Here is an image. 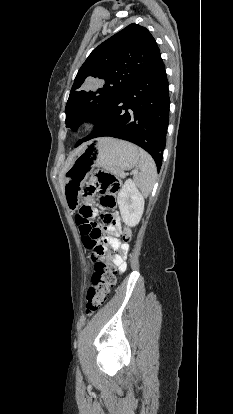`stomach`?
I'll use <instances>...</instances> for the list:
<instances>
[{
    "instance_id": "1",
    "label": "stomach",
    "mask_w": 233,
    "mask_h": 414,
    "mask_svg": "<svg viewBox=\"0 0 233 414\" xmlns=\"http://www.w3.org/2000/svg\"><path fill=\"white\" fill-rule=\"evenodd\" d=\"M139 161V149L126 141L98 138L88 142L64 176V195L69 208L77 207L83 183L93 168L103 167L117 173L136 167Z\"/></svg>"
}]
</instances>
